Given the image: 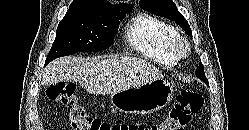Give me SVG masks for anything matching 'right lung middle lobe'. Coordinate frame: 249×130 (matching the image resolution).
<instances>
[{
  "label": "right lung middle lobe",
  "instance_id": "right-lung-middle-lobe-1",
  "mask_svg": "<svg viewBox=\"0 0 249 130\" xmlns=\"http://www.w3.org/2000/svg\"><path fill=\"white\" fill-rule=\"evenodd\" d=\"M132 8L133 5H110L92 12L68 10L58 25L46 64L61 56L109 48L113 44L119 20Z\"/></svg>",
  "mask_w": 249,
  "mask_h": 130
}]
</instances>
